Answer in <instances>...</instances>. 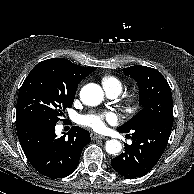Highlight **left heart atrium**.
<instances>
[{"instance_id": "39dd6f15", "label": "left heart atrium", "mask_w": 194, "mask_h": 194, "mask_svg": "<svg viewBox=\"0 0 194 194\" xmlns=\"http://www.w3.org/2000/svg\"><path fill=\"white\" fill-rule=\"evenodd\" d=\"M105 122L115 123L116 117L112 113H91L83 118V123L96 131L104 130Z\"/></svg>"}]
</instances>
